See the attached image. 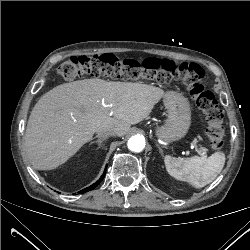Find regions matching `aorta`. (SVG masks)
Wrapping results in <instances>:
<instances>
[{
  "label": "aorta",
  "mask_w": 250,
  "mask_h": 250,
  "mask_svg": "<svg viewBox=\"0 0 250 250\" xmlns=\"http://www.w3.org/2000/svg\"><path fill=\"white\" fill-rule=\"evenodd\" d=\"M128 148L133 152H141L145 148V139L135 135L128 140Z\"/></svg>",
  "instance_id": "obj_1"
}]
</instances>
